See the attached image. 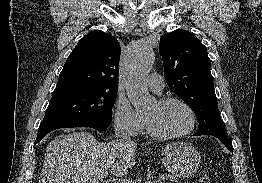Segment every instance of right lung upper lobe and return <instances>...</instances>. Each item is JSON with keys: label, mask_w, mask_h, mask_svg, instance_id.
<instances>
[{"label": "right lung upper lobe", "mask_w": 262, "mask_h": 183, "mask_svg": "<svg viewBox=\"0 0 262 183\" xmlns=\"http://www.w3.org/2000/svg\"><path fill=\"white\" fill-rule=\"evenodd\" d=\"M121 48L113 36L94 30L83 37L59 75L54 92L100 88L118 90Z\"/></svg>", "instance_id": "right-lung-upper-lobe-1"}]
</instances>
